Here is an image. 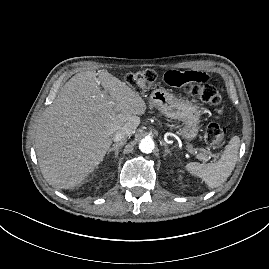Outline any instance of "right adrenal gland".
Here are the masks:
<instances>
[{
    "instance_id": "1",
    "label": "right adrenal gland",
    "mask_w": 269,
    "mask_h": 269,
    "mask_svg": "<svg viewBox=\"0 0 269 269\" xmlns=\"http://www.w3.org/2000/svg\"><path fill=\"white\" fill-rule=\"evenodd\" d=\"M125 145L124 143H116L113 144V146L111 148H109V150L107 151V155L109 156V154L114 151L115 152V158H118V154H119V149Z\"/></svg>"
}]
</instances>
